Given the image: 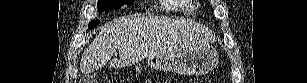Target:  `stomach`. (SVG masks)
Returning a JSON list of instances; mask_svg holds the SVG:
<instances>
[{
	"instance_id": "obj_1",
	"label": "stomach",
	"mask_w": 307,
	"mask_h": 83,
	"mask_svg": "<svg viewBox=\"0 0 307 83\" xmlns=\"http://www.w3.org/2000/svg\"><path fill=\"white\" fill-rule=\"evenodd\" d=\"M218 52L210 44L196 45L174 55H153L148 65L154 70L169 71L187 76L205 75L217 66Z\"/></svg>"
}]
</instances>
